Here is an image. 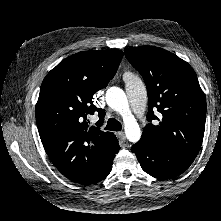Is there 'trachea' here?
<instances>
[{"label": "trachea", "mask_w": 221, "mask_h": 221, "mask_svg": "<svg viewBox=\"0 0 221 221\" xmlns=\"http://www.w3.org/2000/svg\"><path fill=\"white\" fill-rule=\"evenodd\" d=\"M121 129H122L121 123L114 118H110L105 127V130H110V131H121Z\"/></svg>", "instance_id": "3493384b"}]
</instances>
